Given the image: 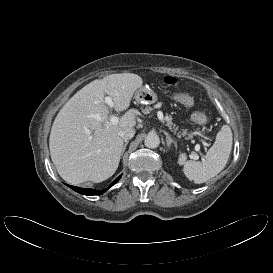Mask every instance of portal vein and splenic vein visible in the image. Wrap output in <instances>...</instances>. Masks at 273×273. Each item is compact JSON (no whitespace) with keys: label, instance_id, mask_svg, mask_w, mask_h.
<instances>
[{"label":"portal vein and splenic vein","instance_id":"portal-vein-and-splenic-vein-1","mask_svg":"<svg viewBox=\"0 0 273 273\" xmlns=\"http://www.w3.org/2000/svg\"><path fill=\"white\" fill-rule=\"evenodd\" d=\"M104 103H106L110 107H114V102H113V100H112V98L110 96L105 97ZM157 116H158V119L161 122H164L163 121V113L162 112L159 111L157 113ZM110 123L117 124L118 123V118L116 116H112L110 118ZM192 135H199V133L198 132H193ZM199 149H200V146L196 145V150H199ZM191 158L196 160V159H198V155L196 153H192L191 154Z\"/></svg>","mask_w":273,"mask_h":273}]
</instances>
